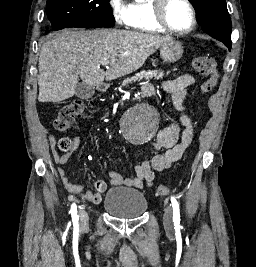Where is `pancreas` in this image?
<instances>
[{
	"label": "pancreas",
	"mask_w": 256,
	"mask_h": 267,
	"mask_svg": "<svg viewBox=\"0 0 256 267\" xmlns=\"http://www.w3.org/2000/svg\"><path fill=\"white\" fill-rule=\"evenodd\" d=\"M163 76V72H159V70H153L151 74H137V76H133V78L134 80H138V78H163ZM126 84H129V80H125V82H123V86H126Z\"/></svg>",
	"instance_id": "pancreas-1"
}]
</instances>
